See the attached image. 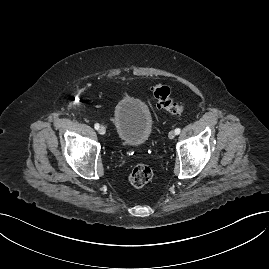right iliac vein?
Segmentation results:
<instances>
[{"instance_id":"63e3f726","label":"right iliac vein","mask_w":269,"mask_h":269,"mask_svg":"<svg viewBox=\"0 0 269 269\" xmlns=\"http://www.w3.org/2000/svg\"><path fill=\"white\" fill-rule=\"evenodd\" d=\"M99 134L104 135L106 133V129L104 126H100L98 129Z\"/></svg>"}]
</instances>
